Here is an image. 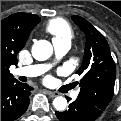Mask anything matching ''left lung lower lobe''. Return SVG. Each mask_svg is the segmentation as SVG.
<instances>
[{
    "mask_svg": "<svg viewBox=\"0 0 121 121\" xmlns=\"http://www.w3.org/2000/svg\"><path fill=\"white\" fill-rule=\"evenodd\" d=\"M69 101V99L67 98ZM103 110L92 104L76 99L69 105V109L64 112H56V116L60 121H94L101 114Z\"/></svg>",
    "mask_w": 121,
    "mask_h": 121,
    "instance_id": "left-lung-lower-lobe-1",
    "label": "left lung lower lobe"
}]
</instances>
